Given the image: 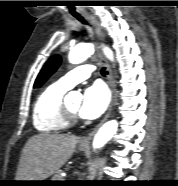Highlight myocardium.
<instances>
[{"label":"myocardium","instance_id":"myocardium-1","mask_svg":"<svg viewBox=\"0 0 178 186\" xmlns=\"http://www.w3.org/2000/svg\"><path fill=\"white\" fill-rule=\"evenodd\" d=\"M60 118L66 127H72L78 124L79 117L77 114L71 112L64 102H62L61 110H60Z\"/></svg>","mask_w":178,"mask_h":186}]
</instances>
